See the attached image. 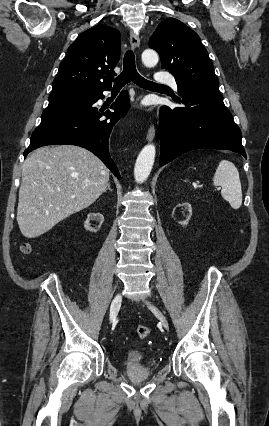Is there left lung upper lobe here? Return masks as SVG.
Wrapping results in <instances>:
<instances>
[{
    "label": "left lung upper lobe",
    "mask_w": 269,
    "mask_h": 426,
    "mask_svg": "<svg viewBox=\"0 0 269 426\" xmlns=\"http://www.w3.org/2000/svg\"><path fill=\"white\" fill-rule=\"evenodd\" d=\"M149 47L159 53L162 68L175 76L178 91L219 85L199 36L181 21H162L150 38Z\"/></svg>",
    "instance_id": "left-lung-upper-lobe-1"
}]
</instances>
